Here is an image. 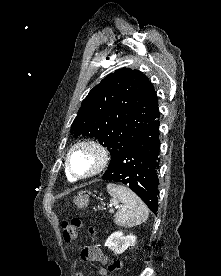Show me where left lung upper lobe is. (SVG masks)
<instances>
[{
    "instance_id": "left-lung-upper-lobe-1",
    "label": "left lung upper lobe",
    "mask_w": 221,
    "mask_h": 276,
    "mask_svg": "<svg viewBox=\"0 0 221 276\" xmlns=\"http://www.w3.org/2000/svg\"><path fill=\"white\" fill-rule=\"evenodd\" d=\"M158 116L157 95L149 79L138 70L123 68L89 92L71 129L74 137L99 140L112 157Z\"/></svg>"
}]
</instances>
